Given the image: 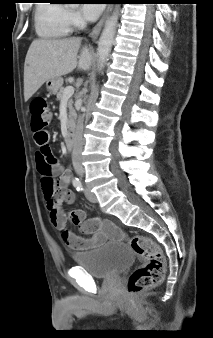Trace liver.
<instances>
[{"mask_svg":"<svg viewBox=\"0 0 213 338\" xmlns=\"http://www.w3.org/2000/svg\"><path fill=\"white\" fill-rule=\"evenodd\" d=\"M80 46V38L34 40L24 64L25 101L51 78L66 75L76 68L89 71L92 65L91 50L84 46L78 56Z\"/></svg>","mask_w":213,"mask_h":338,"instance_id":"6515ba94","label":"liver"}]
</instances>
